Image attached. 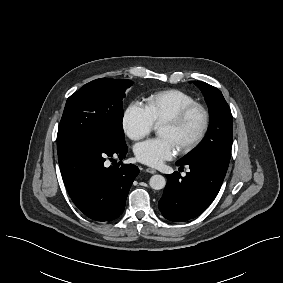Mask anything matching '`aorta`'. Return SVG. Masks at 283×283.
I'll list each match as a JSON object with an SVG mask.
<instances>
[{"instance_id":"762f6f07","label":"aorta","mask_w":283,"mask_h":283,"mask_svg":"<svg viewBox=\"0 0 283 283\" xmlns=\"http://www.w3.org/2000/svg\"><path fill=\"white\" fill-rule=\"evenodd\" d=\"M150 186L152 189L154 190H161L165 187L166 185V180L162 175H153L150 178V182H149Z\"/></svg>"}]
</instances>
